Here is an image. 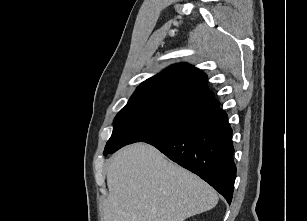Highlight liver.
I'll return each instance as SVG.
<instances>
[{"label": "liver", "instance_id": "liver-1", "mask_svg": "<svg viewBox=\"0 0 307 221\" xmlns=\"http://www.w3.org/2000/svg\"><path fill=\"white\" fill-rule=\"evenodd\" d=\"M107 185L105 221H184L218 203L211 186L145 143L109 159Z\"/></svg>", "mask_w": 307, "mask_h": 221}]
</instances>
